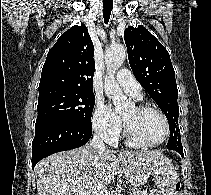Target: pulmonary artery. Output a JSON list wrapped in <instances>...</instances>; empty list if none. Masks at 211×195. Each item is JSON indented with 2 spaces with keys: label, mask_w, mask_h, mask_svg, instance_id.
<instances>
[{
  "label": "pulmonary artery",
  "mask_w": 211,
  "mask_h": 195,
  "mask_svg": "<svg viewBox=\"0 0 211 195\" xmlns=\"http://www.w3.org/2000/svg\"><path fill=\"white\" fill-rule=\"evenodd\" d=\"M116 81L120 85V87L132 96L135 99H140L141 94V86L135 80L134 76L128 69H121L116 76ZM113 144V143H110Z\"/></svg>",
  "instance_id": "obj_1"
}]
</instances>
